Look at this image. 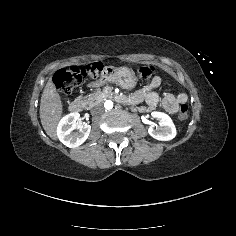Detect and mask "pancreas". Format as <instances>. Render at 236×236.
Wrapping results in <instances>:
<instances>
[{"instance_id": "pancreas-1", "label": "pancreas", "mask_w": 236, "mask_h": 236, "mask_svg": "<svg viewBox=\"0 0 236 236\" xmlns=\"http://www.w3.org/2000/svg\"><path fill=\"white\" fill-rule=\"evenodd\" d=\"M111 95H112L111 90L102 91L100 88H98V89H95L94 92L88 96H79V99H81L82 102L84 104H86V109H91L96 103H100V102L106 100ZM129 109L134 112H136V111L145 112V111L150 110L149 107L143 106V105L142 106L131 105V106H129Z\"/></svg>"}]
</instances>
